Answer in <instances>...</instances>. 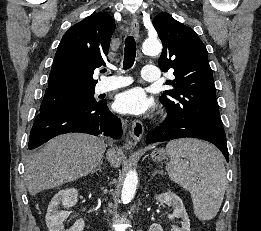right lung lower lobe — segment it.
Masks as SVG:
<instances>
[{
	"instance_id": "98d812e1",
	"label": "right lung lower lobe",
	"mask_w": 261,
	"mask_h": 231,
	"mask_svg": "<svg viewBox=\"0 0 261 231\" xmlns=\"http://www.w3.org/2000/svg\"><path fill=\"white\" fill-rule=\"evenodd\" d=\"M68 132L104 133L119 138L122 128L120 119L109 111L105 100L93 105L64 107L37 115L28 147L30 150L37 148L49 139Z\"/></svg>"
}]
</instances>
